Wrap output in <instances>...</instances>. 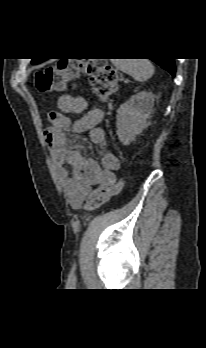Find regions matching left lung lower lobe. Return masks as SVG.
Segmentation results:
<instances>
[{"mask_svg": "<svg viewBox=\"0 0 206 348\" xmlns=\"http://www.w3.org/2000/svg\"><path fill=\"white\" fill-rule=\"evenodd\" d=\"M158 65H160L162 68L167 70L172 74V76L175 75V63L174 58H158V59H151Z\"/></svg>", "mask_w": 206, "mask_h": 348, "instance_id": "1", "label": "left lung lower lobe"}]
</instances>
